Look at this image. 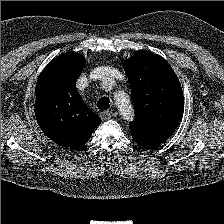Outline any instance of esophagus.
<instances>
[{
  "mask_svg": "<svg viewBox=\"0 0 224 224\" xmlns=\"http://www.w3.org/2000/svg\"><path fill=\"white\" fill-rule=\"evenodd\" d=\"M112 116H113V114L109 110H104L103 112H101V118L103 120H109V119H111Z\"/></svg>",
  "mask_w": 224,
  "mask_h": 224,
  "instance_id": "obj_1",
  "label": "esophagus"
}]
</instances>
